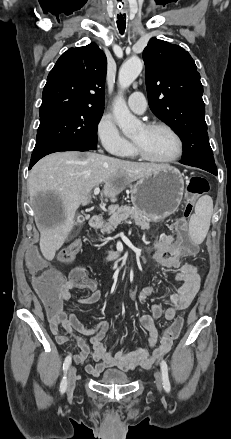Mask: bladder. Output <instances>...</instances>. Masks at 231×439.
Segmentation results:
<instances>
[{
  "label": "bladder",
  "mask_w": 231,
  "mask_h": 439,
  "mask_svg": "<svg viewBox=\"0 0 231 439\" xmlns=\"http://www.w3.org/2000/svg\"><path fill=\"white\" fill-rule=\"evenodd\" d=\"M99 381L100 383L106 385H126L130 383L131 378L123 371L117 369H108L103 372Z\"/></svg>",
  "instance_id": "1"
}]
</instances>
